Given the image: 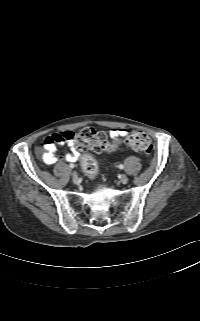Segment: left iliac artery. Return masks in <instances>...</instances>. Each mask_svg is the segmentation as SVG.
<instances>
[{
	"instance_id": "44dca946",
	"label": "left iliac artery",
	"mask_w": 200,
	"mask_h": 321,
	"mask_svg": "<svg viewBox=\"0 0 200 321\" xmlns=\"http://www.w3.org/2000/svg\"><path fill=\"white\" fill-rule=\"evenodd\" d=\"M119 168H120V169H123V168H124V165H123V164H120V165H119Z\"/></svg>"
}]
</instances>
